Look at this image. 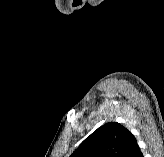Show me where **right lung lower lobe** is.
Returning <instances> with one entry per match:
<instances>
[{
  "instance_id": "98d812e1",
  "label": "right lung lower lobe",
  "mask_w": 164,
  "mask_h": 157,
  "mask_svg": "<svg viewBox=\"0 0 164 157\" xmlns=\"http://www.w3.org/2000/svg\"><path fill=\"white\" fill-rule=\"evenodd\" d=\"M127 157H143V154L138 146V144H136L132 150L130 151V153L127 155Z\"/></svg>"
}]
</instances>
